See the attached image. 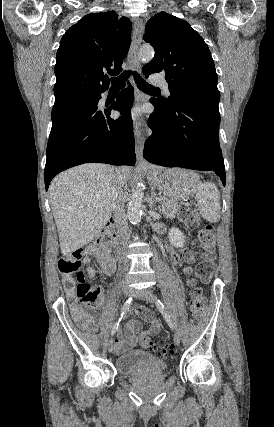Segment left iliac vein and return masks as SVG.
<instances>
[{"mask_svg": "<svg viewBox=\"0 0 274 427\" xmlns=\"http://www.w3.org/2000/svg\"><path fill=\"white\" fill-rule=\"evenodd\" d=\"M132 296L137 297L139 299H143V300L148 301V302H152V303L155 301L154 294L150 290H147V289H144V290L134 289V290H132ZM173 339H174L175 345L178 346L180 344L179 334L175 333L173 336Z\"/></svg>", "mask_w": 274, "mask_h": 427, "instance_id": "1", "label": "left iliac vein"}]
</instances>
